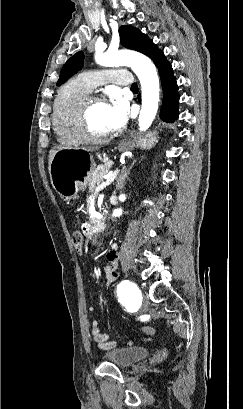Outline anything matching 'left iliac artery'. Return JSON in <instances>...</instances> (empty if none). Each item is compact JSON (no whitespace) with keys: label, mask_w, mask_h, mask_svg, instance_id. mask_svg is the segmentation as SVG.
I'll use <instances>...</instances> for the list:
<instances>
[{"label":"left iliac artery","mask_w":243,"mask_h":409,"mask_svg":"<svg viewBox=\"0 0 243 409\" xmlns=\"http://www.w3.org/2000/svg\"><path fill=\"white\" fill-rule=\"evenodd\" d=\"M117 295L119 297V301L121 300L128 302H133L132 307L138 306L141 303V292L138 287L129 281H123L117 286Z\"/></svg>","instance_id":"1"}]
</instances>
